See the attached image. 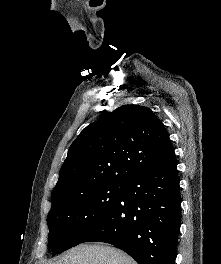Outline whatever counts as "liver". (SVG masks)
<instances>
[{
	"mask_svg": "<svg viewBox=\"0 0 221 264\" xmlns=\"http://www.w3.org/2000/svg\"><path fill=\"white\" fill-rule=\"evenodd\" d=\"M47 264H137L126 253L104 245H80Z\"/></svg>",
	"mask_w": 221,
	"mask_h": 264,
	"instance_id": "liver-1",
	"label": "liver"
}]
</instances>
